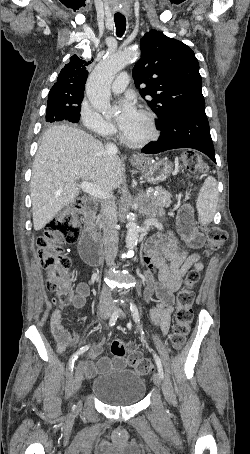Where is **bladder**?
<instances>
[{
	"instance_id": "31cf9c89",
	"label": "bladder",
	"mask_w": 250,
	"mask_h": 454,
	"mask_svg": "<svg viewBox=\"0 0 250 454\" xmlns=\"http://www.w3.org/2000/svg\"><path fill=\"white\" fill-rule=\"evenodd\" d=\"M146 390V379L139 372L124 367L106 372L91 383L92 394L110 406L137 404L143 399Z\"/></svg>"
}]
</instances>
